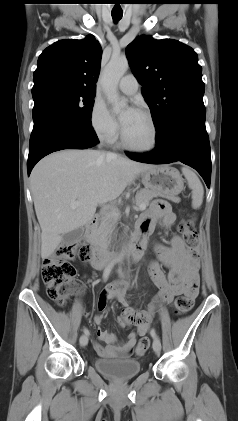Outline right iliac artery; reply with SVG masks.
<instances>
[{"label":"right iliac artery","mask_w":238,"mask_h":421,"mask_svg":"<svg viewBox=\"0 0 238 421\" xmlns=\"http://www.w3.org/2000/svg\"><path fill=\"white\" fill-rule=\"evenodd\" d=\"M113 265H114V263H113V264H111V265H109V266L105 269L104 274H103V278H104V280H106V279L108 278V276H109V274H110V272H111V269H112ZM83 331H84V333H85L86 335H89V331H88V329L84 328V330H83Z\"/></svg>","instance_id":"82829eb1"}]
</instances>
